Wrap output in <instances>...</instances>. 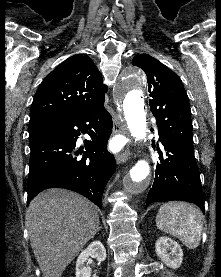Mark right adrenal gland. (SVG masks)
I'll return each mask as SVG.
<instances>
[{
    "mask_svg": "<svg viewBox=\"0 0 221 277\" xmlns=\"http://www.w3.org/2000/svg\"><path fill=\"white\" fill-rule=\"evenodd\" d=\"M101 229H102V226H100V227L98 228V231L101 230Z\"/></svg>",
    "mask_w": 221,
    "mask_h": 277,
    "instance_id": "1",
    "label": "right adrenal gland"
}]
</instances>
